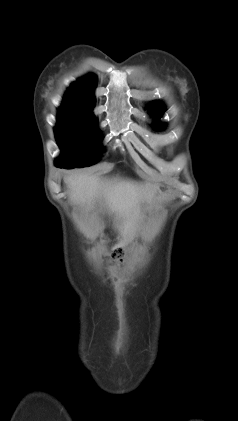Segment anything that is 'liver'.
<instances>
[{
  "mask_svg": "<svg viewBox=\"0 0 238 421\" xmlns=\"http://www.w3.org/2000/svg\"><path fill=\"white\" fill-rule=\"evenodd\" d=\"M70 199L76 204L98 200L120 222L122 240L126 242L134 233L142 203H151L157 187L138 184L120 178H106L98 175L81 174L69 177Z\"/></svg>",
  "mask_w": 238,
  "mask_h": 421,
  "instance_id": "obj_1",
  "label": "liver"
}]
</instances>
